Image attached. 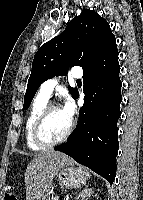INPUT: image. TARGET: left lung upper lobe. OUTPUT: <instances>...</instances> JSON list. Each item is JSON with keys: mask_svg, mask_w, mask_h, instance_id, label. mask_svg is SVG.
<instances>
[{"mask_svg": "<svg viewBox=\"0 0 143 200\" xmlns=\"http://www.w3.org/2000/svg\"><path fill=\"white\" fill-rule=\"evenodd\" d=\"M114 38L107 21L95 11L86 9L76 15L62 34L43 44L35 54L23 109L28 108L45 80L66 75L68 67H88ZM68 90L74 97L77 90L70 86Z\"/></svg>", "mask_w": 143, "mask_h": 200, "instance_id": "1", "label": "left lung upper lobe"}]
</instances>
